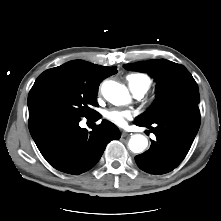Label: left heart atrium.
<instances>
[{"label":"left heart atrium","instance_id":"1","mask_svg":"<svg viewBox=\"0 0 221 221\" xmlns=\"http://www.w3.org/2000/svg\"><path fill=\"white\" fill-rule=\"evenodd\" d=\"M106 119L118 126H124L131 115L127 111L110 110L105 114Z\"/></svg>","mask_w":221,"mask_h":221}]
</instances>
